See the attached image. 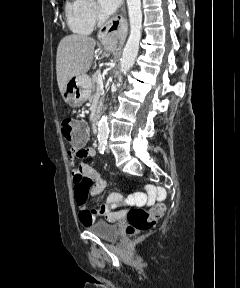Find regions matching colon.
Wrapping results in <instances>:
<instances>
[{
  "label": "colon",
  "mask_w": 240,
  "mask_h": 288,
  "mask_svg": "<svg viewBox=\"0 0 240 288\" xmlns=\"http://www.w3.org/2000/svg\"><path fill=\"white\" fill-rule=\"evenodd\" d=\"M61 132L64 138L71 143L83 141L87 135L85 125L73 118H65L61 121ZM164 211L165 207L162 203H157L150 209H131L127 215V234L134 236L151 229Z\"/></svg>",
  "instance_id": "5ec220e1"
}]
</instances>
